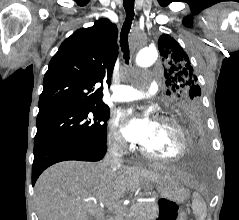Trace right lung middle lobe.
I'll return each instance as SVG.
<instances>
[{
    "label": "right lung middle lobe",
    "instance_id": "obj_1",
    "mask_svg": "<svg viewBox=\"0 0 239 220\" xmlns=\"http://www.w3.org/2000/svg\"><path fill=\"white\" fill-rule=\"evenodd\" d=\"M106 105L61 107L39 111L34 146L51 141H69L88 145L106 143Z\"/></svg>",
    "mask_w": 239,
    "mask_h": 220
}]
</instances>
